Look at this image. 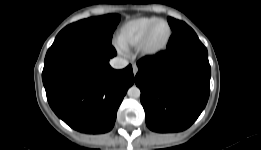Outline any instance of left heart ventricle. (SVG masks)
Listing matches in <instances>:
<instances>
[{"mask_svg": "<svg viewBox=\"0 0 261 150\" xmlns=\"http://www.w3.org/2000/svg\"><path fill=\"white\" fill-rule=\"evenodd\" d=\"M168 35V27L165 23L157 24L151 32L149 38V46L151 48L160 47L166 40Z\"/></svg>", "mask_w": 261, "mask_h": 150, "instance_id": "left-heart-ventricle-1", "label": "left heart ventricle"}]
</instances>
